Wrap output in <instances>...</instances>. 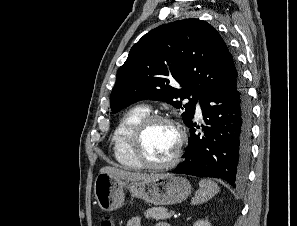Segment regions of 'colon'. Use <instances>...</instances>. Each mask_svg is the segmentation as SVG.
I'll use <instances>...</instances> for the list:
<instances>
[{"label":"colon","instance_id":"5ec220e1","mask_svg":"<svg viewBox=\"0 0 297 226\" xmlns=\"http://www.w3.org/2000/svg\"><path fill=\"white\" fill-rule=\"evenodd\" d=\"M99 226H115V222L110 216H103Z\"/></svg>","mask_w":297,"mask_h":226}]
</instances>
